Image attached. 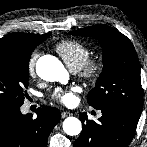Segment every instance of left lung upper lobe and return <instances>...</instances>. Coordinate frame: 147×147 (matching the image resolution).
I'll return each mask as SVG.
<instances>
[{
	"label": "left lung upper lobe",
	"mask_w": 147,
	"mask_h": 147,
	"mask_svg": "<svg viewBox=\"0 0 147 147\" xmlns=\"http://www.w3.org/2000/svg\"><path fill=\"white\" fill-rule=\"evenodd\" d=\"M94 37L103 49V69L87 97L96 109L115 107L140 117L143 96L140 66L131 41L114 28L100 24L69 32Z\"/></svg>",
	"instance_id": "1"
}]
</instances>
